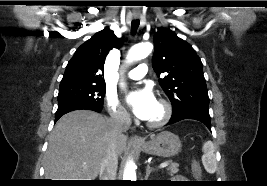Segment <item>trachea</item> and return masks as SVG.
<instances>
[{"label": "trachea", "instance_id": "3493384b", "mask_svg": "<svg viewBox=\"0 0 267 186\" xmlns=\"http://www.w3.org/2000/svg\"><path fill=\"white\" fill-rule=\"evenodd\" d=\"M139 24H140V21H139L138 19L133 20V21L131 22V30H132V34H135V33H136Z\"/></svg>", "mask_w": 267, "mask_h": 186}]
</instances>
